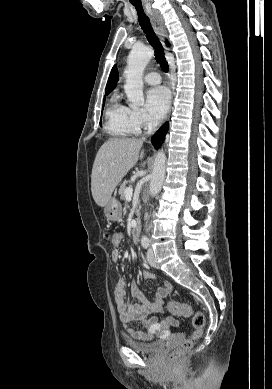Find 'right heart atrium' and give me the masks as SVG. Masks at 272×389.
Returning a JSON list of instances; mask_svg holds the SVG:
<instances>
[{
    "label": "right heart atrium",
    "mask_w": 272,
    "mask_h": 389,
    "mask_svg": "<svg viewBox=\"0 0 272 389\" xmlns=\"http://www.w3.org/2000/svg\"><path fill=\"white\" fill-rule=\"evenodd\" d=\"M133 121L138 129L140 128H150L153 123L149 119L148 115L143 109L133 108L132 109Z\"/></svg>",
    "instance_id": "1"
}]
</instances>
